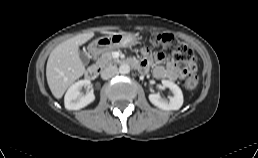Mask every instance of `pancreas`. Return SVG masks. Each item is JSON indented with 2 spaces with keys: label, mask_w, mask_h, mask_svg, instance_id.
I'll return each instance as SVG.
<instances>
[{
  "label": "pancreas",
  "mask_w": 258,
  "mask_h": 158,
  "mask_svg": "<svg viewBox=\"0 0 258 158\" xmlns=\"http://www.w3.org/2000/svg\"><path fill=\"white\" fill-rule=\"evenodd\" d=\"M111 52L112 50L104 52L101 55V57L97 60L96 65L99 66L100 68H105L114 63H117L118 61L112 58Z\"/></svg>",
  "instance_id": "1"
}]
</instances>
